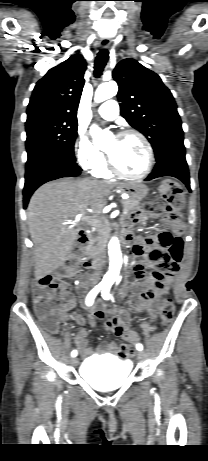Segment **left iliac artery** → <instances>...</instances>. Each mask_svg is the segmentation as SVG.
Returning a JSON list of instances; mask_svg holds the SVG:
<instances>
[{"label":"left iliac artery","instance_id":"obj_1","mask_svg":"<svg viewBox=\"0 0 208 461\" xmlns=\"http://www.w3.org/2000/svg\"><path fill=\"white\" fill-rule=\"evenodd\" d=\"M109 290H110V287H109V286H105V287H103V289H102V297H103L105 300H109V299H110ZM136 348H137V350L141 351V350L143 349V346H142V344H137V345H136Z\"/></svg>","mask_w":208,"mask_h":461}]
</instances>
